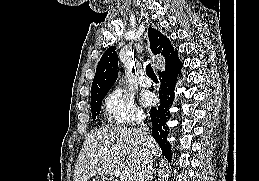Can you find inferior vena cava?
I'll list each match as a JSON object with an SVG mask.
<instances>
[{"mask_svg": "<svg viewBox=\"0 0 259 181\" xmlns=\"http://www.w3.org/2000/svg\"><path fill=\"white\" fill-rule=\"evenodd\" d=\"M144 135V138L147 136L148 127L144 122L141 123L140 129ZM153 165V158L150 153V150L146 147L145 152L143 154V162L141 164L140 170L136 176L135 181H149L151 170Z\"/></svg>", "mask_w": 259, "mask_h": 181, "instance_id": "inferior-vena-cava-1", "label": "inferior vena cava"}]
</instances>
